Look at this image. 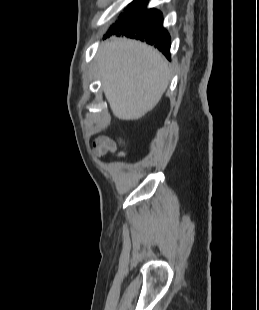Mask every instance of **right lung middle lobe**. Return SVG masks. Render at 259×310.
<instances>
[{
    "label": "right lung middle lobe",
    "mask_w": 259,
    "mask_h": 310,
    "mask_svg": "<svg viewBox=\"0 0 259 310\" xmlns=\"http://www.w3.org/2000/svg\"><path fill=\"white\" fill-rule=\"evenodd\" d=\"M146 5L147 0H135L132 2L125 10L124 14L120 15L119 20L111 26V29L107 32V34L125 28L132 21L144 15L149 11V9H146Z\"/></svg>",
    "instance_id": "dd1d6c3e"
}]
</instances>
